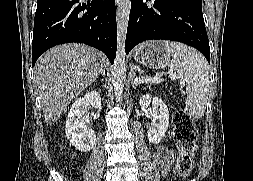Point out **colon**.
Masks as SVG:
<instances>
[{"label": "colon", "instance_id": "1", "mask_svg": "<svg viewBox=\"0 0 253 181\" xmlns=\"http://www.w3.org/2000/svg\"><path fill=\"white\" fill-rule=\"evenodd\" d=\"M173 125V135L179 149L176 173L179 177H186L193 168V158L196 150L198 133L193 121L182 109H178L174 113Z\"/></svg>", "mask_w": 253, "mask_h": 181}]
</instances>
